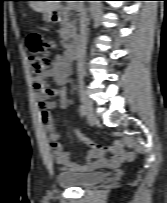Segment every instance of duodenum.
<instances>
[{"instance_id":"1","label":"duodenum","mask_w":167,"mask_h":203,"mask_svg":"<svg viewBox=\"0 0 167 203\" xmlns=\"http://www.w3.org/2000/svg\"><path fill=\"white\" fill-rule=\"evenodd\" d=\"M64 10L62 9H55L52 11V21L54 23L59 22L62 19ZM77 52V45L74 43L69 44L66 47L64 58L68 62H72L75 59Z\"/></svg>"}]
</instances>
